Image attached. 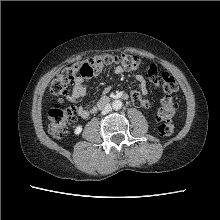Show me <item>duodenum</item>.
<instances>
[{"label": "duodenum", "mask_w": 220, "mask_h": 220, "mask_svg": "<svg viewBox=\"0 0 220 220\" xmlns=\"http://www.w3.org/2000/svg\"><path fill=\"white\" fill-rule=\"evenodd\" d=\"M128 98L126 93H118L113 97H109V96H103L100 101L98 102L97 108H103L105 107L111 100H126Z\"/></svg>", "instance_id": "duodenum-1"}]
</instances>
